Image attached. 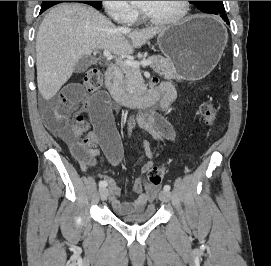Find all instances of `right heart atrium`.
<instances>
[{"label": "right heart atrium", "mask_w": 271, "mask_h": 266, "mask_svg": "<svg viewBox=\"0 0 271 266\" xmlns=\"http://www.w3.org/2000/svg\"><path fill=\"white\" fill-rule=\"evenodd\" d=\"M107 14L114 20L132 24L137 20L138 10L129 1H102Z\"/></svg>", "instance_id": "1"}]
</instances>
